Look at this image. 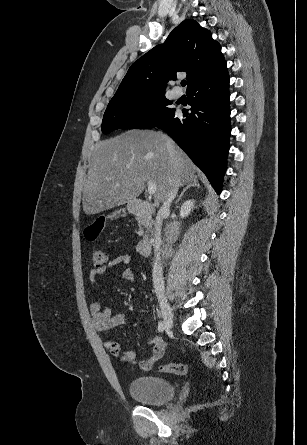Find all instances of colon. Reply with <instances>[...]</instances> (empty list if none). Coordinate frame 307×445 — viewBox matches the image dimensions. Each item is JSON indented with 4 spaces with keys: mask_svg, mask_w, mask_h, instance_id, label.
Returning <instances> with one entry per match:
<instances>
[{
    "mask_svg": "<svg viewBox=\"0 0 307 445\" xmlns=\"http://www.w3.org/2000/svg\"><path fill=\"white\" fill-rule=\"evenodd\" d=\"M115 216H102L92 222L85 230L86 239L89 241L95 240L104 230L106 225L112 221ZM91 259L96 268L103 267L107 262V252L103 248H92ZM160 371L163 373H172L177 375H184L187 372V366L183 363H168L161 365Z\"/></svg>",
    "mask_w": 307,
    "mask_h": 445,
    "instance_id": "1",
    "label": "colon"
}]
</instances>
